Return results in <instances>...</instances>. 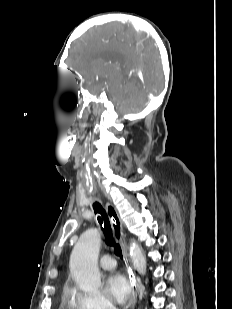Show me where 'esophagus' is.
<instances>
[{"instance_id": "obj_1", "label": "esophagus", "mask_w": 232, "mask_h": 309, "mask_svg": "<svg viewBox=\"0 0 232 309\" xmlns=\"http://www.w3.org/2000/svg\"><path fill=\"white\" fill-rule=\"evenodd\" d=\"M106 212L111 220L112 224V229L114 233L115 239L120 243L121 248H122V253L124 257V261L126 264L127 268V273H128V279L131 285V298L128 303V308L133 309L136 305V300H137V295H138V285L136 283L134 271L132 267L129 264V258H128V252H127V244L125 241V235L123 231V226H122V221L116 211V209L113 207L112 204L107 203L106 204Z\"/></svg>"}]
</instances>
